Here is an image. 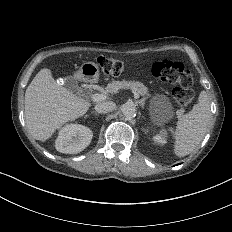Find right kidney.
Wrapping results in <instances>:
<instances>
[{
	"label": "right kidney",
	"instance_id": "ca27d5eb",
	"mask_svg": "<svg viewBox=\"0 0 232 232\" xmlns=\"http://www.w3.org/2000/svg\"><path fill=\"white\" fill-rule=\"evenodd\" d=\"M90 129L82 125L66 126L56 140V149L64 154H75L83 151L92 140Z\"/></svg>",
	"mask_w": 232,
	"mask_h": 232
}]
</instances>
